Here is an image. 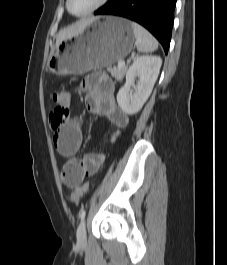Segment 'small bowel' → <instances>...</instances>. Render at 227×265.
<instances>
[{
  "mask_svg": "<svg viewBox=\"0 0 227 265\" xmlns=\"http://www.w3.org/2000/svg\"><path fill=\"white\" fill-rule=\"evenodd\" d=\"M85 90V105L89 112L105 116L116 128L111 136L114 141L120 131L129 123L128 115L117 105L114 98V87L110 78L100 72H91L83 82ZM82 127L79 119H73L55 130L53 144L58 153L70 158L66 164L70 167L67 177H62L69 187H76L82 183L85 177L98 172L105 161L104 153H88L82 159L75 158L82 144Z\"/></svg>",
  "mask_w": 227,
  "mask_h": 265,
  "instance_id": "1",
  "label": "small bowel"
}]
</instances>
